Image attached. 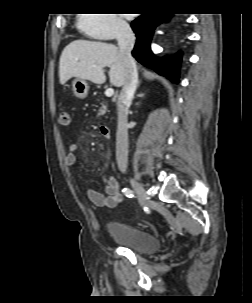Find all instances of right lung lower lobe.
I'll return each mask as SVG.
<instances>
[{
  "label": "right lung lower lobe",
  "instance_id": "obj_1",
  "mask_svg": "<svg viewBox=\"0 0 252 303\" xmlns=\"http://www.w3.org/2000/svg\"><path fill=\"white\" fill-rule=\"evenodd\" d=\"M171 17L167 13H146L131 23V27L136 34L137 41L132 51V55L146 67L153 69L172 81L178 80L179 64L181 62V53L164 59L156 58L150 50V42L155 27L166 22Z\"/></svg>",
  "mask_w": 252,
  "mask_h": 303
}]
</instances>
